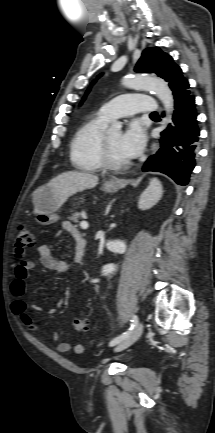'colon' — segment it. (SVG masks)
<instances>
[{
    "mask_svg": "<svg viewBox=\"0 0 215 433\" xmlns=\"http://www.w3.org/2000/svg\"><path fill=\"white\" fill-rule=\"evenodd\" d=\"M35 237L32 229L24 224H19L15 231L16 255L21 258L24 256V251L27 247L34 244ZM76 331L85 333L89 330V322L85 319L77 318L73 321Z\"/></svg>",
    "mask_w": 215,
    "mask_h": 433,
    "instance_id": "colon-1",
    "label": "colon"
}]
</instances>
